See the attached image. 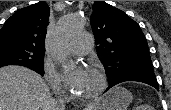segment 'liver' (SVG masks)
Wrapping results in <instances>:
<instances>
[{
	"label": "liver",
	"mask_w": 171,
	"mask_h": 110,
	"mask_svg": "<svg viewBox=\"0 0 171 110\" xmlns=\"http://www.w3.org/2000/svg\"><path fill=\"white\" fill-rule=\"evenodd\" d=\"M97 102L88 107L94 110ZM0 110H59L44 79L22 66L0 68Z\"/></svg>",
	"instance_id": "liver-1"
}]
</instances>
